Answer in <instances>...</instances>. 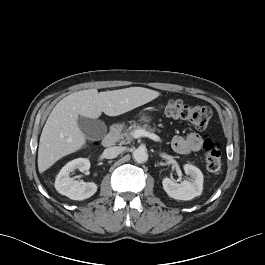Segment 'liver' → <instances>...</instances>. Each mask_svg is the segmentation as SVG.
<instances>
[{"instance_id": "liver-1", "label": "liver", "mask_w": 265, "mask_h": 265, "mask_svg": "<svg viewBox=\"0 0 265 265\" xmlns=\"http://www.w3.org/2000/svg\"><path fill=\"white\" fill-rule=\"evenodd\" d=\"M160 93L143 87L104 91L88 89L60 100L50 113L40 136L38 170L43 173L58 160L86 144L78 117L96 119L104 112L117 116L156 99Z\"/></svg>"}]
</instances>
